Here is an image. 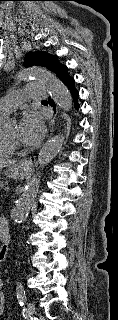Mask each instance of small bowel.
I'll return each mask as SVG.
<instances>
[{"instance_id": "small-bowel-1", "label": "small bowel", "mask_w": 118, "mask_h": 320, "mask_svg": "<svg viewBox=\"0 0 118 320\" xmlns=\"http://www.w3.org/2000/svg\"><path fill=\"white\" fill-rule=\"evenodd\" d=\"M3 289V281L0 278V315L4 314L5 312V296L2 292Z\"/></svg>"}]
</instances>
